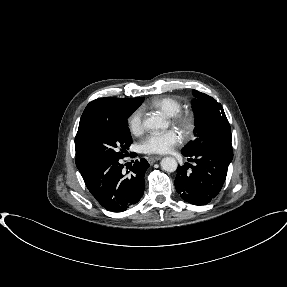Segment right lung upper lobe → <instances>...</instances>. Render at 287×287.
<instances>
[{
    "label": "right lung upper lobe",
    "mask_w": 287,
    "mask_h": 287,
    "mask_svg": "<svg viewBox=\"0 0 287 287\" xmlns=\"http://www.w3.org/2000/svg\"><path fill=\"white\" fill-rule=\"evenodd\" d=\"M144 101L143 97L133 99L99 98L90 102L85 108L75 137L76 166L81 175L92 165L88 163L87 138L90 132L105 119L122 113L125 110L137 109Z\"/></svg>",
    "instance_id": "cb5924a9"
}]
</instances>
